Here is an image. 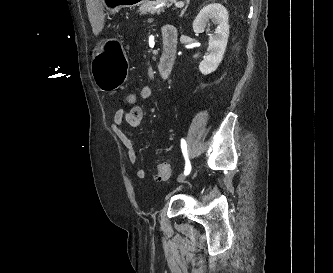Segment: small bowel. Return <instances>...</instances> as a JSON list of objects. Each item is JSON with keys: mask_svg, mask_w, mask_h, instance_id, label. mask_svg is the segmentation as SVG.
Segmentation results:
<instances>
[{"mask_svg": "<svg viewBox=\"0 0 333 273\" xmlns=\"http://www.w3.org/2000/svg\"><path fill=\"white\" fill-rule=\"evenodd\" d=\"M163 28V27H162ZM133 94V93H129ZM152 95V90L149 86H143L140 89L139 96L143 100L150 99ZM144 118L143 109L138 106L137 109H130L126 111L124 108H119L114 115L112 129L114 134L122 143L127 151V157L131 165L134 167L135 177L138 179H143L145 177V170L137 165V154L134 148L132 140L123 131L124 123L130 126H138L141 124Z\"/></svg>", "mask_w": 333, "mask_h": 273, "instance_id": "1", "label": "small bowel"}]
</instances>
